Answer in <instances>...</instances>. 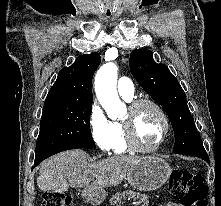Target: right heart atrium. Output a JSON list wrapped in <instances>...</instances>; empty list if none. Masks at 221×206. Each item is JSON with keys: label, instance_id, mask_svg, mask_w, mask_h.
I'll return each mask as SVG.
<instances>
[{"label": "right heart atrium", "instance_id": "1", "mask_svg": "<svg viewBox=\"0 0 221 206\" xmlns=\"http://www.w3.org/2000/svg\"><path fill=\"white\" fill-rule=\"evenodd\" d=\"M89 127L96 146L103 152L109 151L112 147L113 124L96 101L91 107Z\"/></svg>", "mask_w": 221, "mask_h": 206}]
</instances>
